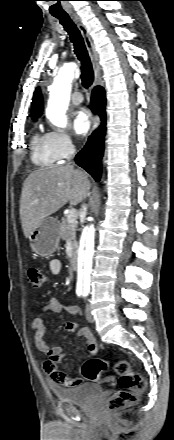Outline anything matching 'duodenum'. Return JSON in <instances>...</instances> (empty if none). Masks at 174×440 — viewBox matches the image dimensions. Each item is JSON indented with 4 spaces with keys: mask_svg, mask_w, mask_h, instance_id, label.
<instances>
[{
    "mask_svg": "<svg viewBox=\"0 0 174 440\" xmlns=\"http://www.w3.org/2000/svg\"><path fill=\"white\" fill-rule=\"evenodd\" d=\"M70 266L73 270H77L79 263H78V256L76 253H73L70 258Z\"/></svg>",
    "mask_w": 174,
    "mask_h": 440,
    "instance_id": "duodenum-1",
    "label": "duodenum"
}]
</instances>
